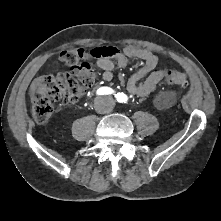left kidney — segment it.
<instances>
[{"label":"left kidney","mask_w":221,"mask_h":221,"mask_svg":"<svg viewBox=\"0 0 221 221\" xmlns=\"http://www.w3.org/2000/svg\"><path fill=\"white\" fill-rule=\"evenodd\" d=\"M172 98V93H163L161 94V97L159 98L160 101L163 103H168Z\"/></svg>","instance_id":"left-kidney-1"}]
</instances>
